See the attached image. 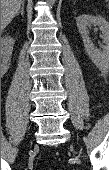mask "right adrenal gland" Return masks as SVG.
Returning a JSON list of instances; mask_svg holds the SVG:
<instances>
[{"mask_svg":"<svg viewBox=\"0 0 109 170\" xmlns=\"http://www.w3.org/2000/svg\"><path fill=\"white\" fill-rule=\"evenodd\" d=\"M20 13L22 16L24 15V2L22 3L20 10L17 12V15H19Z\"/></svg>","mask_w":109,"mask_h":170,"instance_id":"2a0ac1e0","label":"right adrenal gland"}]
</instances>
